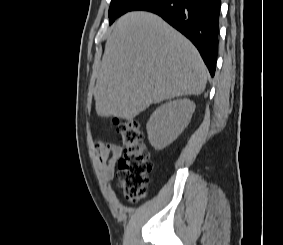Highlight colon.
<instances>
[{
  "mask_svg": "<svg viewBox=\"0 0 283 245\" xmlns=\"http://www.w3.org/2000/svg\"><path fill=\"white\" fill-rule=\"evenodd\" d=\"M114 124L122 143V157L118 162V185L125 198L135 203L147 194L152 170L150 155L143 142V132L135 120L115 119Z\"/></svg>",
  "mask_w": 283,
  "mask_h": 245,
  "instance_id": "5ec220e1",
  "label": "colon"
}]
</instances>
